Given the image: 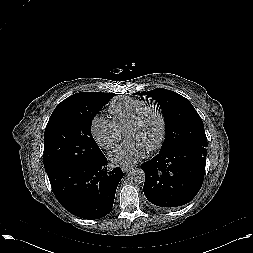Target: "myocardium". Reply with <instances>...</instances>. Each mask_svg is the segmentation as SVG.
<instances>
[{"label":"myocardium","mask_w":253,"mask_h":253,"mask_svg":"<svg viewBox=\"0 0 253 253\" xmlns=\"http://www.w3.org/2000/svg\"><path fill=\"white\" fill-rule=\"evenodd\" d=\"M151 110L155 111L159 117L160 129H159V134H158L156 141L154 142L153 145H151L147 149L149 152H153V151L157 150L161 146V144L164 140V137H165L166 120H165V116H164L162 109L158 105H154V104L145 105L133 116V118L126 125V128H130V127L137 125L139 123V121L141 120V118L143 117V115Z\"/></svg>","instance_id":"f54148a6"}]
</instances>
